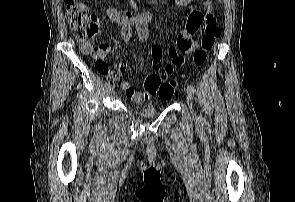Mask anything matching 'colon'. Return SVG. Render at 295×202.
Instances as JSON below:
<instances>
[{"mask_svg":"<svg viewBox=\"0 0 295 202\" xmlns=\"http://www.w3.org/2000/svg\"><path fill=\"white\" fill-rule=\"evenodd\" d=\"M66 17L70 29L80 43L81 48L90 44L98 31V27L92 15H89L87 7L77 0H66ZM219 29L215 23H208L203 29L200 48L195 52L194 62L201 66L207 59V53L213 48ZM181 61V58H180ZM145 90H153L161 99L168 100L173 97L177 88V81L167 80L161 75L152 74L148 79H143Z\"/></svg>","mask_w":295,"mask_h":202,"instance_id":"5ec220e1","label":"colon"}]
</instances>
